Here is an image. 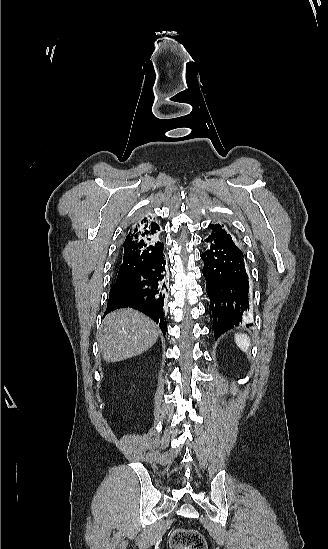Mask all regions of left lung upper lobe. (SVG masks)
Instances as JSON below:
<instances>
[{
    "instance_id": "left-lung-upper-lobe-1",
    "label": "left lung upper lobe",
    "mask_w": 328,
    "mask_h": 549,
    "mask_svg": "<svg viewBox=\"0 0 328 549\" xmlns=\"http://www.w3.org/2000/svg\"><path fill=\"white\" fill-rule=\"evenodd\" d=\"M209 228L212 229L211 236H215L219 239L227 241L235 245L234 238L222 228L220 224H209Z\"/></svg>"
}]
</instances>
